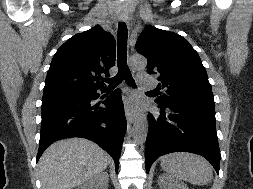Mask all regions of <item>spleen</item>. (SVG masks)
I'll return each mask as SVG.
<instances>
[{
  "label": "spleen",
  "instance_id": "obj_1",
  "mask_svg": "<svg viewBox=\"0 0 253 189\" xmlns=\"http://www.w3.org/2000/svg\"><path fill=\"white\" fill-rule=\"evenodd\" d=\"M161 167L171 178L196 185L207 184L213 178L210 163L203 157L188 152H176L163 156Z\"/></svg>",
  "mask_w": 253,
  "mask_h": 189
}]
</instances>
